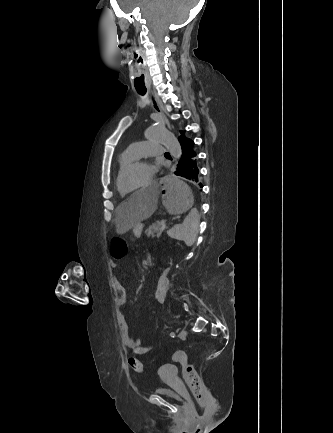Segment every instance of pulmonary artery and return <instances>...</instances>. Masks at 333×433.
<instances>
[{
    "label": "pulmonary artery",
    "mask_w": 333,
    "mask_h": 433,
    "mask_svg": "<svg viewBox=\"0 0 333 433\" xmlns=\"http://www.w3.org/2000/svg\"><path fill=\"white\" fill-rule=\"evenodd\" d=\"M134 157L161 155L167 150L165 145L159 142L148 140L135 142L129 145L127 149Z\"/></svg>",
    "instance_id": "obj_1"
}]
</instances>
